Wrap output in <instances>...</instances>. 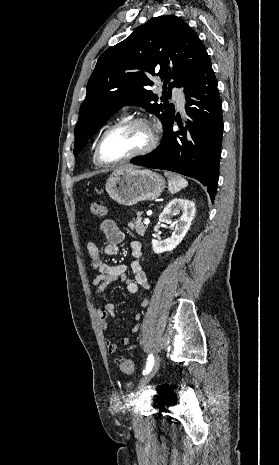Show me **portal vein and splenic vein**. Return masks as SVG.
<instances>
[{"instance_id": "obj_1", "label": "portal vein and splenic vein", "mask_w": 279, "mask_h": 465, "mask_svg": "<svg viewBox=\"0 0 279 465\" xmlns=\"http://www.w3.org/2000/svg\"><path fill=\"white\" fill-rule=\"evenodd\" d=\"M149 223H150L149 218H145V219H144V224L148 225Z\"/></svg>"}]
</instances>
